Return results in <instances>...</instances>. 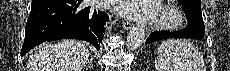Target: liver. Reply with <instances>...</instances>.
<instances>
[{
	"label": "liver",
	"mask_w": 230,
	"mask_h": 71,
	"mask_svg": "<svg viewBox=\"0 0 230 71\" xmlns=\"http://www.w3.org/2000/svg\"><path fill=\"white\" fill-rule=\"evenodd\" d=\"M89 50L85 43L64 40L54 44H44L30 55L28 71H82Z\"/></svg>",
	"instance_id": "obj_1"
}]
</instances>
